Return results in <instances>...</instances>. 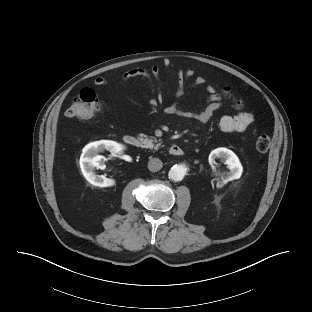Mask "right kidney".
<instances>
[{"mask_svg":"<svg viewBox=\"0 0 312 312\" xmlns=\"http://www.w3.org/2000/svg\"><path fill=\"white\" fill-rule=\"evenodd\" d=\"M124 148L123 145L110 140H101L86 145L80 157V168L86 180L98 187H111L115 185V180L106 178L104 175H96L95 168H105V157L98 155L99 152L107 150L112 155H116Z\"/></svg>","mask_w":312,"mask_h":312,"instance_id":"1","label":"right kidney"}]
</instances>
